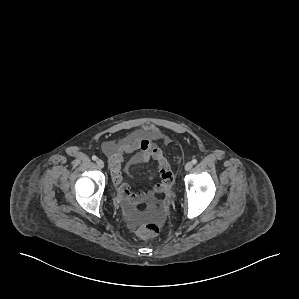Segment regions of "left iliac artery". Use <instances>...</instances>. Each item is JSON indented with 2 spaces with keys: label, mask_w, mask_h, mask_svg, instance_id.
Masks as SVG:
<instances>
[{
  "label": "left iliac artery",
  "mask_w": 299,
  "mask_h": 299,
  "mask_svg": "<svg viewBox=\"0 0 299 299\" xmlns=\"http://www.w3.org/2000/svg\"><path fill=\"white\" fill-rule=\"evenodd\" d=\"M192 163H193V164H196V163H197V160H196V159H193V160H192Z\"/></svg>",
  "instance_id": "44dca946"
}]
</instances>
